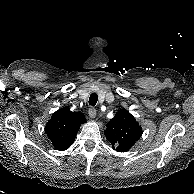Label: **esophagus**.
I'll return each mask as SVG.
<instances>
[{
  "label": "esophagus",
  "instance_id": "34e87169",
  "mask_svg": "<svg viewBox=\"0 0 194 194\" xmlns=\"http://www.w3.org/2000/svg\"><path fill=\"white\" fill-rule=\"evenodd\" d=\"M88 114H89L90 118H92V119L95 118L96 117V109L93 107L89 108Z\"/></svg>",
  "mask_w": 194,
  "mask_h": 194
}]
</instances>
